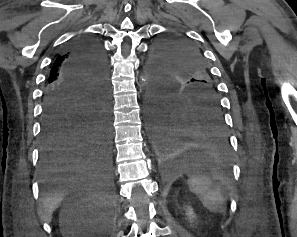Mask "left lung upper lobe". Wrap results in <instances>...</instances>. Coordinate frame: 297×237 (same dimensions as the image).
I'll return each instance as SVG.
<instances>
[{"instance_id": "obj_1", "label": "left lung upper lobe", "mask_w": 297, "mask_h": 237, "mask_svg": "<svg viewBox=\"0 0 297 237\" xmlns=\"http://www.w3.org/2000/svg\"><path fill=\"white\" fill-rule=\"evenodd\" d=\"M149 75L151 96L165 95L180 104L212 100L220 105L201 53L185 39L159 40L152 49Z\"/></svg>"}]
</instances>
